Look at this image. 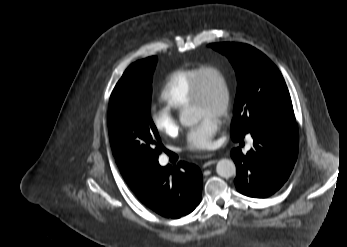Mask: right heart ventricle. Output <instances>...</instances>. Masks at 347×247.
<instances>
[{
    "label": "right heart ventricle",
    "instance_id": "right-heart-ventricle-1",
    "mask_svg": "<svg viewBox=\"0 0 347 247\" xmlns=\"http://www.w3.org/2000/svg\"><path fill=\"white\" fill-rule=\"evenodd\" d=\"M199 66L181 68L167 77L160 91V99L171 110H180L189 105L192 86Z\"/></svg>",
    "mask_w": 347,
    "mask_h": 247
}]
</instances>
